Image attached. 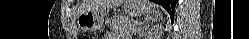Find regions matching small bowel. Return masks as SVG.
Masks as SVG:
<instances>
[{
	"label": "small bowel",
	"instance_id": "obj_1",
	"mask_svg": "<svg viewBox=\"0 0 249 39\" xmlns=\"http://www.w3.org/2000/svg\"><path fill=\"white\" fill-rule=\"evenodd\" d=\"M104 39H114V36L112 33L109 32L104 36Z\"/></svg>",
	"mask_w": 249,
	"mask_h": 39
}]
</instances>
